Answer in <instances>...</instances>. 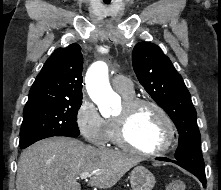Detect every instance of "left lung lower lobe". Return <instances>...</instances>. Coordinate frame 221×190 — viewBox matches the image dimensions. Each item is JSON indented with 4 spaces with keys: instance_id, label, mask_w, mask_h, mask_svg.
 <instances>
[{
    "instance_id": "0a47b994",
    "label": "left lung lower lobe",
    "mask_w": 221,
    "mask_h": 190,
    "mask_svg": "<svg viewBox=\"0 0 221 190\" xmlns=\"http://www.w3.org/2000/svg\"><path fill=\"white\" fill-rule=\"evenodd\" d=\"M157 160H161V161H170V162H173L175 164H178L179 166L183 167L184 169L190 171L191 173H193L203 184V187H205L206 185V176H205V173H200V172H197V171H194L184 165H181L177 160L176 161H173V160H170L168 158H165V157H158L156 158Z\"/></svg>"
}]
</instances>
